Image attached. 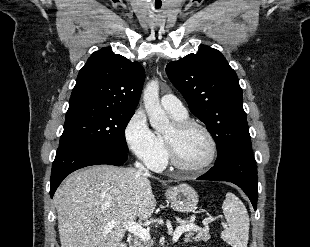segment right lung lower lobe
<instances>
[{"label": "right lung lower lobe", "instance_id": "1", "mask_svg": "<svg viewBox=\"0 0 310 247\" xmlns=\"http://www.w3.org/2000/svg\"><path fill=\"white\" fill-rule=\"evenodd\" d=\"M127 157V153L88 144L74 143L59 147L51 171V198L63 179L71 172L90 165L119 166Z\"/></svg>", "mask_w": 310, "mask_h": 247}]
</instances>
